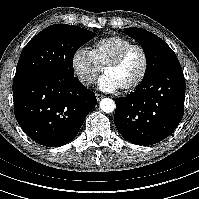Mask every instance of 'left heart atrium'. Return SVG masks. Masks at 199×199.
<instances>
[{
  "label": "left heart atrium",
  "instance_id": "left-heart-atrium-1",
  "mask_svg": "<svg viewBox=\"0 0 199 199\" xmlns=\"http://www.w3.org/2000/svg\"><path fill=\"white\" fill-rule=\"evenodd\" d=\"M98 87L104 92H115L119 89V86L109 77L103 75L98 82Z\"/></svg>",
  "mask_w": 199,
  "mask_h": 199
}]
</instances>
